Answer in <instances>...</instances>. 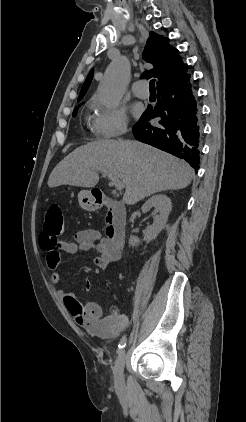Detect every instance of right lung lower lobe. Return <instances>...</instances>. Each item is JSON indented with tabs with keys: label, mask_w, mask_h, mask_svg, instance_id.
Returning a JSON list of instances; mask_svg holds the SVG:
<instances>
[{
	"label": "right lung lower lobe",
	"mask_w": 246,
	"mask_h": 422,
	"mask_svg": "<svg viewBox=\"0 0 246 422\" xmlns=\"http://www.w3.org/2000/svg\"><path fill=\"white\" fill-rule=\"evenodd\" d=\"M157 91V105L146 109L133 127V134L141 142L186 160L197 171L202 129L190 75ZM157 117L160 120L156 125L143 124Z\"/></svg>",
	"instance_id": "obj_1"
}]
</instances>
